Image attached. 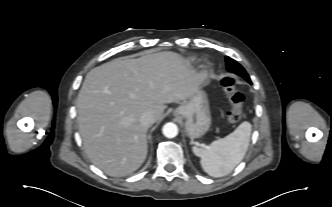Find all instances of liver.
Wrapping results in <instances>:
<instances>
[{
  "label": "liver",
  "mask_w": 332,
  "mask_h": 207,
  "mask_svg": "<svg viewBox=\"0 0 332 207\" xmlns=\"http://www.w3.org/2000/svg\"><path fill=\"white\" fill-rule=\"evenodd\" d=\"M195 72L175 52L117 58L92 69L77 100L78 126L92 163L110 176L136 171L147 155L144 113L159 121L166 103L187 100L200 88Z\"/></svg>",
  "instance_id": "obj_1"
}]
</instances>
